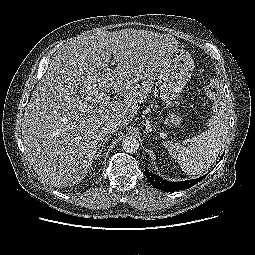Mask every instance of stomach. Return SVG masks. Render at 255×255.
<instances>
[{"label":"stomach","instance_id":"0dacf381","mask_svg":"<svg viewBox=\"0 0 255 255\" xmlns=\"http://www.w3.org/2000/svg\"><path fill=\"white\" fill-rule=\"evenodd\" d=\"M194 68V63L188 51L178 49L171 60L160 69L158 74V87L160 98L165 108H172L175 99L182 92V89ZM167 123L179 126L182 118L174 112H169Z\"/></svg>","mask_w":255,"mask_h":255}]
</instances>
